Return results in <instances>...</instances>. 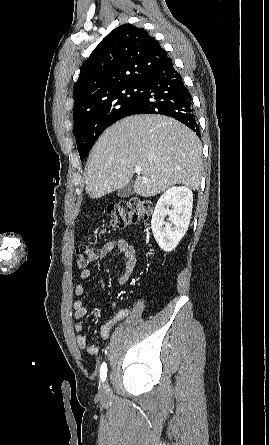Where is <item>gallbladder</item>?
I'll use <instances>...</instances> for the list:
<instances>
[{
    "label": "gallbladder",
    "mask_w": 269,
    "mask_h": 445,
    "mask_svg": "<svg viewBox=\"0 0 269 445\" xmlns=\"http://www.w3.org/2000/svg\"><path fill=\"white\" fill-rule=\"evenodd\" d=\"M133 192H134L133 183H128L126 186L118 190L117 195L121 198H126L131 196Z\"/></svg>",
    "instance_id": "gallbladder-1"
}]
</instances>
